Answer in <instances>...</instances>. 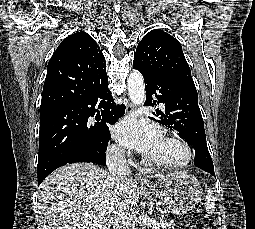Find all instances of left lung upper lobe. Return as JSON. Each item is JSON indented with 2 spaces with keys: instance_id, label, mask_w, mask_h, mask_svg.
<instances>
[{
  "instance_id": "left-lung-upper-lobe-1",
  "label": "left lung upper lobe",
  "mask_w": 255,
  "mask_h": 229,
  "mask_svg": "<svg viewBox=\"0 0 255 229\" xmlns=\"http://www.w3.org/2000/svg\"><path fill=\"white\" fill-rule=\"evenodd\" d=\"M133 65L142 74L167 76L195 87L181 44L163 30H152L144 36L137 46ZM180 135L191 144L188 135Z\"/></svg>"
}]
</instances>
